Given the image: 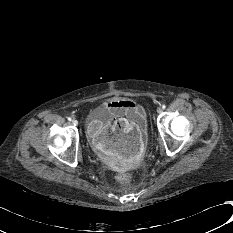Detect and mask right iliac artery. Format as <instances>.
Masks as SVG:
<instances>
[{"label":"right iliac artery","instance_id":"right-iliac-artery-1","mask_svg":"<svg viewBox=\"0 0 233 233\" xmlns=\"http://www.w3.org/2000/svg\"><path fill=\"white\" fill-rule=\"evenodd\" d=\"M68 120H69V121H71V120H72V118H71V117H68Z\"/></svg>","mask_w":233,"mask_h":233}]
</instances>
